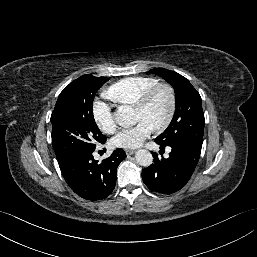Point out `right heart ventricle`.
Instances as JSON below:
<instances>
[{
	"label": "right heart ventricle",
	"mask_w": 257,
	"mask_h": 257,
	"mask_svg": "<svg viewBox=\"0 0 257 257\" xmlns=\"http://www.w3.org/2000/svg\"><path fill=\"white\" fill-rule=\"evenodd\" d=\"M156 84L158 80L152 77H127L111 84L104 96L117 104L134 106L141 96Z\"/></svg>",
	"instance_id": "e07e8e85"
}]
</instances>
